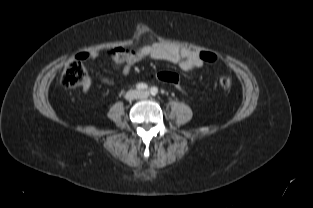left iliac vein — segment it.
<instances>
[{
    "label": "left iliac vein",
    "mask_w": 313,
    "mask_h": 208,
    "mask_svg": "<svg viewBox=\"0 0 313 208\" xmlns=\"http://www.w3.org/2000/svg\"><path fill=\"white\" fill-rule=\"evenodd\" d=\"M149 96V92L148 91H141L139 92L138 98L140 99H146Z\"/></svg>",
    "instance_id": "obj_1"
}]
</instances>
